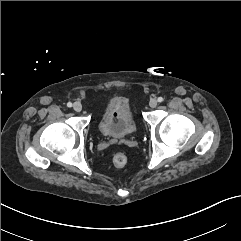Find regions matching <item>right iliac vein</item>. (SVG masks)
Wrapping results in <instances>:
<instances>
[{"mask_svg":"<svg viewBox=\"0 0 241 241\" xmlns=\"http://www.w3.org/2000/svg\"><path fill=\"white\" fill-rule=\"evenodd\" d=\"M73 109H74L76 112H80V111L82 110V105H81V103L75 102V103L73 104Z\"/></svg>","mask_w":241,"mask_h":241,"instance_id":"right-iliac-vein-1","label":"right iliac vein"}]
</instances>
